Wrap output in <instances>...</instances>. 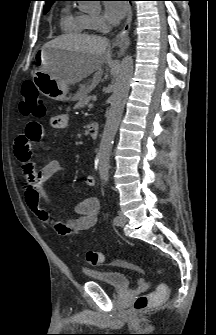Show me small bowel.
<instances>
[{"label": "small bowel", "mask_w": 216, "mask_h": 335, "mask_svg": "<svg viewBox=\"0 0 216 335\" xmlns=\"http://www.w3.org/2000/svg\"><path fill=\"white\" fill-rule=\"evenodd\" d=\"M67 124L66 114H58L51 118V125L55 129L65 128ZM40 138H43L42 121L30 120L29 124H25L24 134L16 143V154L25 180L24 198L28 208L44 225L59 235H72L91 229L97 222L99 212V201L95 197H88L78 203L75 207V217L69 220H59L42 208V201L52 203L45 190V183L60 170L61 166L57 160L51 159L40 170L36 169L32 144L38 143ZM84 183L89 187L94 186V176H86Z\"/></svg>", "instance_id": "c3829d8e"}]
</instances>
